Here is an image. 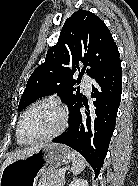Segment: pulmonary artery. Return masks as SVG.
Here are the masks:
<instances>
[{
    "mask_svg": "<svg viewBox=\"0 0 138 186\" xmlns=\"http://www.w3.org/2000/svg\"><path fill=\"white\" fill-rule=\"evenodd\" d=\"M92 82V79L86 75L82 79V86L87 93H90L92 90Z\"/></svg>",
    "mask_w": 138,
    "mask_h": 186,
    "instance_id": "1",
    "label": "pulmonary artery"
}]
</instances>
